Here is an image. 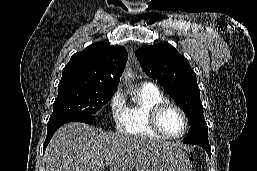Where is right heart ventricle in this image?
I'll use <instances>...</instances> for the list:
<instances>
[{"instance_id":"1","label":"right heart ventricle","mask_w":257,"mask_h":171,"mask_svg":"<svg viewBox=\"0 0 257 171\" xmlns=\"http://www.w3.org/2000/svg\"><path fill=\"white\" fill-rule=\"evenodd\" d=\"M166 100V97L156 86L147 83L141 85L136 91L134 100L125 105L119 130L129 135L163 139L161 135L151 129L149 117L151 109Z\"/></svg>"}]
</instances>
